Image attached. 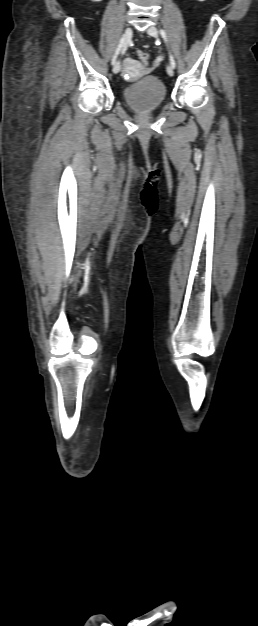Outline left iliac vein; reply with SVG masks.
I'll use <instances>...</instances> for the list:
<instances>
[{"mask_svg":"<svg viewBox=\"0 0 258 626\" xmlns=\"http://www.w3.org/2000/svg\"><path fill=\"white\" fill-rule=\"evenodd\" d=\"M147 33L150 36H153V37H158V34H159L158 33V29L155 26H150L147 29ZM166 70H167V73H168L169 76H173L174 75V70H173V67L171 65H168Z\"/></svg>","mask_w":258,"mask_h":626,"instance_id":"1","label":"left iliac vein"}]
</instances>
